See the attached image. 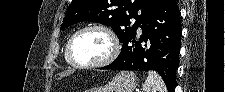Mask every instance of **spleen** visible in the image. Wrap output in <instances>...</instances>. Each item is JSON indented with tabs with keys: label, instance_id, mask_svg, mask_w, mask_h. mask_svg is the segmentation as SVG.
<instances>
[{
	"label": "spleen",
	"instance_id": "3e777b00",
	"mask_svg": "<svg viewBox=\"0 0 225 92\" xmlns=\"http://www.w3.org/2000/svg\"><path fill=\"white\" fill-rule=\"evenodd\" d=\"M143 92H167L161 76L155 71H149L148 77L142 86Z\"/></svg>",
	"mask_w": 225,
	"mask_h": 92
}]
</instances>
